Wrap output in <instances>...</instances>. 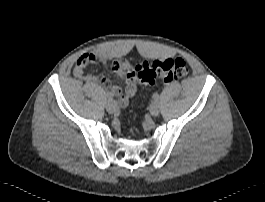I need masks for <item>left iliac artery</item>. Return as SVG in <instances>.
I'll return each mask as SVG.
<instances>
[{
    "mask_svg": "<svg viewBox=\"0 0 265 202\" xmlns=\"http://www.w3.org/2000/svg\"><path fill=\"white\" fill-rule=\"evenodd\" d=\"M153 98H154L155 100H159V94H157V93L154 94V95H153Z\"/></svg>",
    "mask_w": 265,
    "mask_h": 202,
    "instance_id": "44dca946",
    "label": "left iliac artery"
}]
</instances>
